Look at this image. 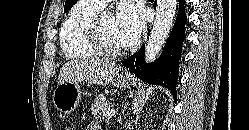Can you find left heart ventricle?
<instances>
[{"label": "left heart ventricle", "instance_id": "obj_1", "mask_svg": "<svg viewBox=\"0 0 249 130\" xmlns=\"http://www.w3.org/2000/svg\"><path fill=\"white\" fill-rule=\"evenodd\" d=\"M102 30L107 43L113 48L124 47L117 27L115 17L109 14H105L102 19Z\"/></svg>", "mask_w": 249, "mask_h": 130}]
</instances>
